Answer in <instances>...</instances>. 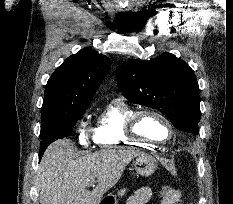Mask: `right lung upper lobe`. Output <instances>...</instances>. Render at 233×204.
<instances>
[{"label":"right lung upper lobe","mask_w":233,"mask_h":204,"mask_svg":"<svg viewBox=\"0 0 233 204\" xmlns=\"http://www.w3.org/2000/svg\"><path fill=\"white\" fill-rule=\"evenodd\" d=\"M109 67V58L90 48L67 58L47 82L42 119L86 110Z\"/></svg>","instance_id":"right-lung-upper-lobe-1"}]
</instances>
